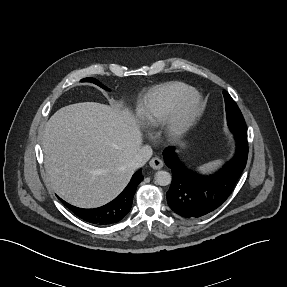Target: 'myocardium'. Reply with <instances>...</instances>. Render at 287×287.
<instances>
[{
    "instance_id": "obj_1",
    "label": "myocardium",
    "mask_w": 287,
    "mask_h": 287,
    "mask_svg": "<svg viewBox=\"0 0 287 287\" xmlns=\"http://www.w3.org/2000/svg\"><path fill=\"white\" fill-rule=\"evenodd\" d=\"M203 107L200 94L190 89L172 106L164 120L163 135L170 142L180 141L193 127Z\"/></svg>"
}]
</instances>
